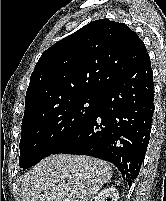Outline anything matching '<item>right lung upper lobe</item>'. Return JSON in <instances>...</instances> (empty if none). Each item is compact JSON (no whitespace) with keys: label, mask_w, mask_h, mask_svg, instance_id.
<instances>
[{"label":"right lung upper lobe","mask_w":166,"mask_h":201,"mask_svg":"<svg viewBox=\"0 0 166 201\" xmlns=\"http://www.w3.org/2000/svg\"><path fill=\"white\" fill-rule=\"evenodd\" d=\"M139 36L123 23L93 21L55 43L30 77L24 117L85 96H97L145 54Z\"/></svg>","instance_id":"1"}]
</instances>
